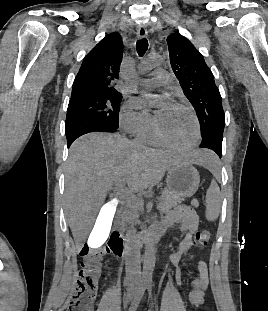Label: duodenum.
I'll return each mask as SVG.
<instances>
[{"label": "duodenum", "instance_id": "obj_1", "mask_svg": "<svg viewBox=\"0 0 268 311\" xmlns=\"http://www.w3.org/2000/svg\"><path fill=\"white\" fill-rule=\"evenodd\" d=\"M162 234V230L153 229L147 234L138 235L132 239H129L124 237L117 228H114L107 242L108 248L113 254L122 256L130 250H136L143 245L152 244L153 242L159 240Z\"/></svg>", "mask_w": 268, "mask_h": 311}]
</instances>
